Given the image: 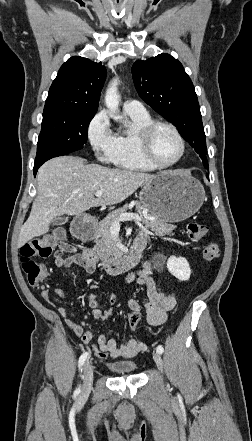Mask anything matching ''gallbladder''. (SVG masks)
<instances>
[{"label":"gallbladder","instance_id":"obj_1","mask_svg":"<svg viewBox=\"0 0 252 441\" xmlns=\"http://www.w3.org/2000/svg\"><path fill=\"white\" fill-rule=\"evenodd\" d=\"M68 222V217L59 216L52 221V225H61Z\"/></svg>","mask_w":252,"mask_h":441}]
</instances>
